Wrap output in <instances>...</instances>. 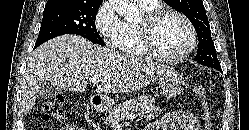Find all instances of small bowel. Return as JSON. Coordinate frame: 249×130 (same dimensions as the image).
Returning <instances> with one entry per match:
<instances>
[{
    "instance_id": "1",
    "label": "small bowel",
    "mask_w": 249,
    "mask_h": 130,
    "mask_svg": "<svg viewBox=\"0 0 249 130\" xmlns=\"http://www.w3.org/2000/svg\"><path fill=\"white\" fill-rule=\"evenodd\" d=\"M60 130H85L82 126L68 124ZM143 130H201L197 118L189 111H172L162 115L158 120Z\"/></svg>"
}]
</instances>
